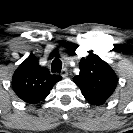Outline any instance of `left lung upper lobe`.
I'll return each mask as SVG.
<instances>
[{"instance_id": "1", "label": "left lung upper lobe", "mask_w": 133, "mask_h": 133, "mask_svg": "<svg viewBox=\"0 0 133 133\" xmlns=\"http://www.w3.org/2000/svg\"><path fill=\"white\" fill-rule=\"evenodd\" d=\"M79 67L80 73L74 77V82L88 102L103 105L113 94L118 82L113 69L93 53L82 58Z\"/></svg>"}]
</instances>
